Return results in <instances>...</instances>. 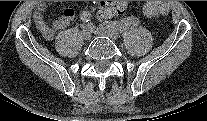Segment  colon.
<instances>
[{
	"mask_svg": "<svg viewBox=\"0 0 207 121\" xmlns=\"http://www.w3.org/2000/svg\"><path fill=\"white\" fill-rule=\"evenodd\" d=\"M144 14L150 18H156L168 13V6L161 1H149L143 7ZM111 10L99 7L98 15L101 19L109 16Z\"/></svg>",
	"mask_w": 207,
	"mask_h": 121,
	"instance_id": "1",
	"label": "colon"
}]
</instances>
